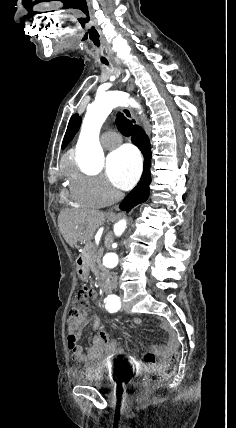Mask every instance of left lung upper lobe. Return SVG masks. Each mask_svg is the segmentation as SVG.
<instances>
[{
	"mask_svg": "<svg viewBox=\"0 0 236 428\" xmlns=\"http://www.w3.org/2000/svg\"><path fill=\"white\" fill-rule=\"evenodd\" d=\"M81 123V117L78 116V114H74L68 124L63 142H62V149H64L67 144L73 139L74 135L79 129Z\"/></svg>",
	"mask_w": 236,
	"mask_h": 428,
	"instance_id": "left-lung-upper-lobe-1",
	"label": "left lung upper lobe"
}]
</instances>
